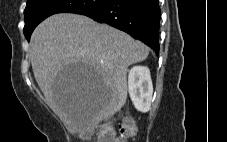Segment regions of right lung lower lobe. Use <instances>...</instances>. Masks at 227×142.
<instances>
[{"label":"right lung lower lobe","mask_w":227,"mask_h":142,"mask_svg":"<svg viewBox=\"0 0 227 142\" xmlns=\"http://www.w3.org/2000/svg\"><path fill=\"white\" fill-rule=\"evenodd\" d=\"M78 14L118 28L159 53L161 12L158 0H106Z\"/></svg>","instance_id":"1"}]
</instances>
